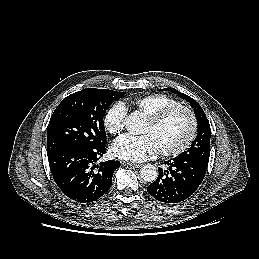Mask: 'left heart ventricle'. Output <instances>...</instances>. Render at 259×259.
Returning <instances> with one entry per match:
<instances>
[{
	"label": "left heart ventricle",
	"instance_id": "left-heart-ventricle-1",
	"mask_svg": "<svg viewBox=\"0 0 259 259\" xmlns=\"http://www.w3.org/2000/svg\"><path fill=\"white\" fill-rule=\"evenodd\" d=\"M190 119L188 115L179 111L174 113L157 127L147 122L143 133L150 135L156 143L158 150L170 149L179 145L188 135Z\"/></svg>",
	"mask_w": 259,
	"mask_h": 259
}]
</instances>
